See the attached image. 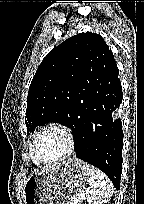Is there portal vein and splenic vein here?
<instances>
[{
	"mask_svg": "<svg viewBox=\"0 0 144 204\" xmlns=\"http://www.w3.org/2000/svg\"><path fill=\"white\" fill-rule=\"evenodd\" d=\"M85 199V196L84 195H81L77 198H75L72 202V204H80L81 201H83Z\"/></svg>",
	"mask_w": 144,
	"mask_h": 204,
	"instance_id": "portal-vein-and-splenic-vein-1",
	"label": "portal vein and splenic vein"
}]
</instances>
